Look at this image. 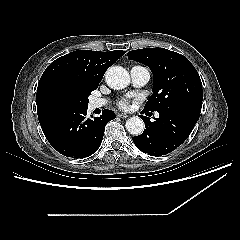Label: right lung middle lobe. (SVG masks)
I'll return each instance as SVG.
<instances>
[{
    "instance_id": "1",
    "label": "right lung middle lobe",
    "mask_w": 240,
    "mask_h": 240,
    "mask_svg": "<svg viewBox=\"0 0 240 240\" xmlns=\"http://www.w3.org/2000/svg\"><path fill=\"white\" fill-rule=\"evenodd\" d=\"M96 88L95 86L76 87L63 85L58 89L57 95L68 108H87L89 103L88 96Z\"/></svg>"
}]
</instances>
